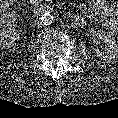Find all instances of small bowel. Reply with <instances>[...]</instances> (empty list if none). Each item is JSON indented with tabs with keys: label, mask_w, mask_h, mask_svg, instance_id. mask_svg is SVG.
<instances>
[{
	"label": "small bowel",
	"mask_w": 118,
	"mask_h": 118,
	"mask_svg": "<svg viewBox=\"0 0 118 118\" xmlns=\"http://www.w3.org/2000/svg\"><path fill=\"white\" fill-rule=\"evenodd\" d=\"M91 7L94 10L101 11L107 16L115 18L118 16V8H115L112 5L107 4L106 0H92ZM114 29L118 33L116 23H114Z\"/></svg>",
	"instance_id": "obj_1"
}]
</instances>
